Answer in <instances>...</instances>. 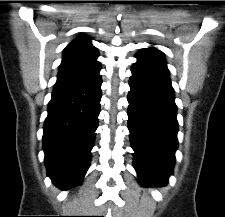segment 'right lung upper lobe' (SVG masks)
<instances>
[{
    "instance_id": "1",
    "label": "right lung upper lobe",
    "mask_w": 225,
    "mask_h": 217,
    "mask_svg": "<svg viewBox=\"0 0 225 217\" xmlns=\"http://www.w3.org/2000/svg\"><path fill=\"white\" fill-rule=\"evenodd\" d=\"M96 47L87 37L73 40L63 51L57 82L54 87L86 83L98 77L101 69Z\"/></svg>"
}]
</instances>
